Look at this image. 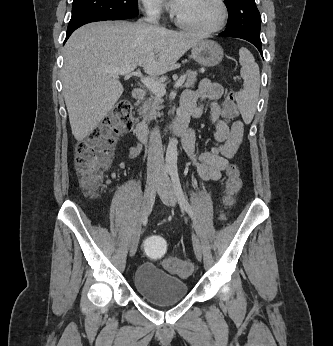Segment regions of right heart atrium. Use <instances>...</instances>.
Masks as SVG:
<instances>
[{"label":"right heart atrium","instance_id":"d8ad5b80","mask_svg":"<svg viewBox=\"0 0 333 346\" xmlns=\"http://www.w3.org/2000/svg\"><path fill=\"white\" fill-rule=\"evenodd\" d=\"M145 12L152 18H161L165 12L163 0H140Z\"/></svg>","mask_w":333,"mask_h":346}]
</instances>
